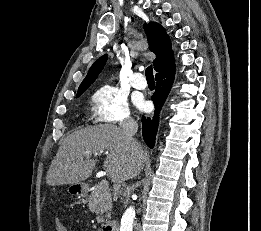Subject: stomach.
Here are the masks:
<instances>
[{"instance_id":"1","label":"stomach","mask_w":261,"mask_h":231,"mask_svg":"<svg viewBox=\"0 0 261 231\" xmlns=\"http://www.w3.org/2000/svg\"><path fill=\"white\" fill-rule=\"evenodd\" d=\"M84 189L85 187L82 183L71 184L68 188V192L71 194L82 195L84 193Z\"/></svg>"}]
</instances>
